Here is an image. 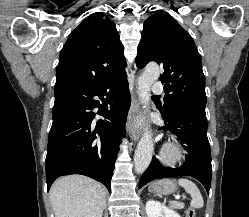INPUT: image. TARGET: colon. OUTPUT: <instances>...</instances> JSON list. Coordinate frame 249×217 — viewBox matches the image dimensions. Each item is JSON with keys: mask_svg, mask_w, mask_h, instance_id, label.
I'll use <instances>...</instances> for the list:
<instances>
[{"mask_svg": "<svg viewBox=\"0 0 249 217\" xmlns=\"http://www.w3.org/2000/svg\"><path fill=\"white\" fill-rule=\"evenodd\" d=\"M186 214H187V217H196V213L193 208H189Z\"/></svg>", "mask_w": 249, "mask_h": 217, "instance_id": "5ec220e1", "label": "colon"}]
</instances>
